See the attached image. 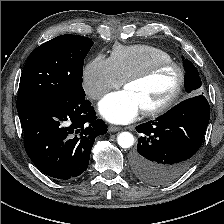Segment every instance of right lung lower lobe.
Returning <instances> with one entry per match:
<instances>
[{
  "mask_svg": "<svg viewBox=\"0 0 224 224\" xmlns=\"http://www.w3.org/2000/svg\"><path fill=\"white\" fill-rule=\"evenodd\" d=\"M18 113L27 155L40 171L56 179L81 175L88 167L95 138L107 132V125L96 118L85 98H42Z\"/></svg>",
  "mask_w": 224,
  "mask_h": 224,
  "instance_id": "right-lung-lower-lobe-1",
  "label": "right lung lower lobe"
}]
</instances>
